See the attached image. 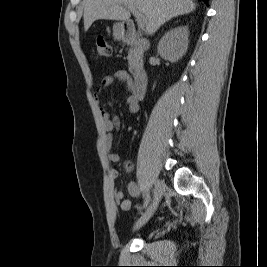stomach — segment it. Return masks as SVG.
Masks as SVG:
<instances>
[{
    "label": "stomach",
    "instance_id": "0dacf381",
    "mask_svg": "<svg viewBox=\"0 0 267 267\" xmlns=\"http://www.w3.org/2000/svg\"><path fill=\"white\" fill-rule=\"evenodd\" d=\"M125 24L123 22H118L113 25V37L116 40H121L125 37Z\"/></svg>",
    "mask_w": 267,
    "mask_h": 267
}]
</instances>
